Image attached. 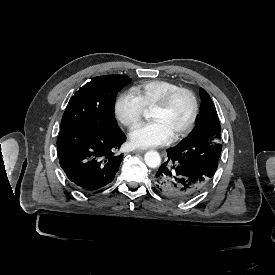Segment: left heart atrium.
I'll return each mask as SVG.
<instances>
[{"instance_id": "left-heart-atrium-1", "label": "left heart atrium", "mask_w": 275, "mask_h": 275, "mask_svg": "<svg viewBox=\"0 0 275 275\" xmlns=\"http://www.w3.org/2000/svg\"><path fill=\"white\" fill-rule=\"evenodd\" d=\"M170 139L171 134L159 121L139 124L129 134L130 144L138 148L157 146Z\"/></svg>"}]
</instances>
